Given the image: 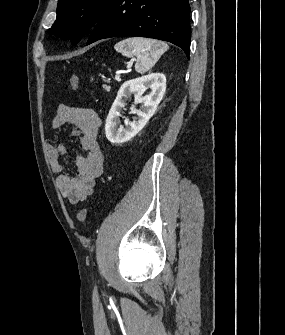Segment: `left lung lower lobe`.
<instances>
[{"instance_id": "left-lung-lower-lobe-1", "label": "left lung lower lobe", "mask_w": 285, "mask_h": 335, "mask_svg": "<svg viewBox=\"0 0 285 335\" xmlns=\"http://www.w3.org/2000/svg\"><path fill=\"white\" fill-rule=\"evenodd\" d=\"M189 0H112L86 45L104 38L140 36L171 42L189 58Z\"/></svg>"}]
</instances>
